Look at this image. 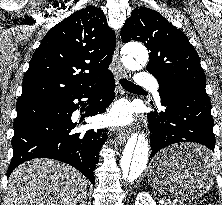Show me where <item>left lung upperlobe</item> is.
Masks as SVG:
<instances>
[{
    "instance_id": "obj_1",
    "label": "left lung upper lobe",
    "mask_w": 222,
    "mask_h": 205,
    "mask_svg": "<svg viewBox=\"0 0 222 205\" xmlns=\"http://www.w3.org/2000/svg\"><path fill=\"white\" fill-rule=\"evenodd\" d=\"M124 43L140 41L150 51L146 67L159 82L205 94L206 78L199 56L188 38L161 14L141 7L132 11L121 29Z\"/></svg>"
}]
</instances>
